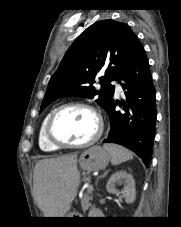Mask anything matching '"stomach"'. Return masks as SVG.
Masks as SVG:
<instances>
[{"instance_id": "1", "label": "stomach", "mask_w": 181, "mask_h": 227, "mask_svg": "<svg viewBox=\"0 0 181 227\" xmlns=\"http://www.w3.org/2000/svg\"><path fill=\"white\" fill-rule=\"evenodd\" d=\"M109 152L101 146H92L79 157V166L87 172H94L106 168L110 161ZM65 217H77L75 213H69Z\"/></svg>"}]
</instances>
